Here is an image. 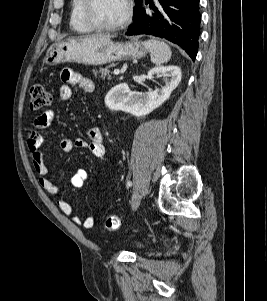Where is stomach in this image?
<instances>
[{
	"mask_svg": "<svg viewBox=\"0 0 267 301\" xmlns=\"http://www.w3.org/2000/svg\"><path fill=\"white\" fill-rule=\"evenodd\" d=\"M147 49L139 41L114 43L110 38H69L50 46L44 63L56 65L74 62L85 65H103L122 59H139Z\"/></svg>",
	"mask_w": 267,
	"mask_h": 301,
	"instance_id": "stomach-1",
	"label": "stomach"
}]
</instances>
